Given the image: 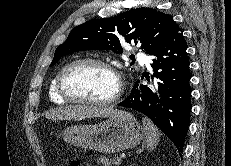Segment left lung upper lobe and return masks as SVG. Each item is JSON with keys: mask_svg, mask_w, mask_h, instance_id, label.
Wrapping results in <instances>:
<instances>
[{"mask_svg": "<svg viewBox=\"0 0 231 166\" xmlns=\"http://www.w3.org/2000/svg\"><path fill=\"white\" fill-rule=\"evenodd\" d=\"M177 27L173 17L152 8H137L113 18L92 19L76 26L55 51L50 66L76 51L99 49L122 51V43L139 44L147 54L154 52Z\"/></svg>", "mask_w": 231, "mask_h": 166, "instance_id": "5c2ea615", "label": "left lung upper lobe"}]
</instances>
